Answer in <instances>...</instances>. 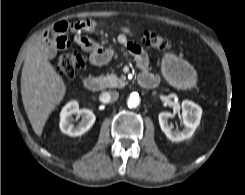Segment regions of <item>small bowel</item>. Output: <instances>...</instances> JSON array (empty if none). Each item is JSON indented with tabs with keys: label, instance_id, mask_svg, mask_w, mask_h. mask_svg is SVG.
<instances>
[{
	"label": "small bowel",
	"instance_id": "obj_1",
	"mask_svg": "<svg viewBox=\"0 0 245 195\" xmlns=\"http://www.w3.org/2000/svg\"><path fill=\"white\" fill-rule=\"evenodd\" d=\"M101 23L93 20H80L71 25V29L75 32V42L86 52L89 53V61L91 64L100 66L108 63L114 56L115 50L105 44H101L88 37L86 33L96 29ZM69 28L67 22H59L50 30L49 34L52 40H47L43 46L46 54H52L55 50H62L69 45L66 32ZM132 32L128 27H120V34L116 42L120 47L128 50L135 58L142 72H148L149 57L147 53L137 43L131 40Z\"/></svg>",
	"mask_w": 245,
	"mask_h": 195
}]
</instances>
